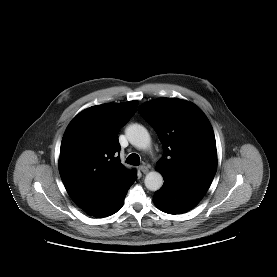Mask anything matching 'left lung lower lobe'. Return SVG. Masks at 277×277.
Listing matches in <instances>:
<instances>
[{"label":"left lung lower lobe","mask_w":277,"mask_h":277,"mask_svg":"<svg viewBox=\"0 0 277 277\" xmlns=\"http://www.w3.org/2000/svg\"><path fill=\"white\" fill-rule=\"evenodd\" d=\"M208 188L185 185L164 179L162 188L154 194L155 204L169 214H181L192 209L206 194Z\"/></svg>","instance_id":"1"}]
</instances>
